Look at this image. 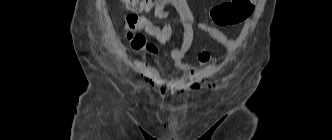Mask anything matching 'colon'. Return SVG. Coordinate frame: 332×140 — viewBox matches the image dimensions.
Here are the masks:
<instances>
[{"label":"colon","instance_id":"colon-1","mask_svg":"<svg viewBox=\"0 0 332 140\" xmlns=\"http://www.w3.org/2000/svg\"><path fill=\"white\" fill-rule=\"evenodd\" d=\"M257 0H228L213 6L210 10L212 22L220 27L232 26L246 21L253 13ZM124 6L132 12L126 17L125 28L127 37L134 49H146L156 53V47L147 43L140 31L150 36L161 35L165 38H173L175 26L172 23L156 25L149 18L139 15L144 9L156 2V0H121Z\"/></svg>","mask_w":332,"mask_h":140}]
</instances>
